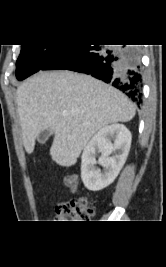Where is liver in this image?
<instances>
[{
  "mask_svg": "<svg viewBox=\"0 0 166 267\" xmlns=\"http://www.w3.org/2000/svg\"><path fill=\"white\" fill-rule=\"evenodd\" d=\"M16 103L26 152L49 128L52 160L65 167L77 162L98 130L135 116L134 105L117 89L71 71L39 72L18 87Z\"/></svg>",
  "mask_w": 166,
  "mask_h": 267,
  "instance_id": "6515ba94",
  "label": "liver"
}]
</instances>
